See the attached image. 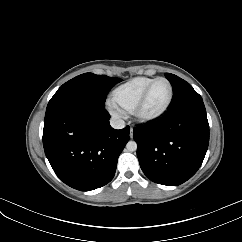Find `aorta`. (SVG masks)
<instances>
[{
	"label": "aorta",
	"instance_id": "aorta-1",
	"mask_svg": "<svg viewBox=\"0 0 242 242\" xmlns=\"http://www.w3.org/2000/svg\"><path fill=\"white\" fill-rule=\"evenodd\" d=\"M126 148L130 152L136 151V149H137V143L135 141H129L126 144Z\"/></svg>",
	"mask_w": 242,
	"mask_h": 242
}]
</instances>
